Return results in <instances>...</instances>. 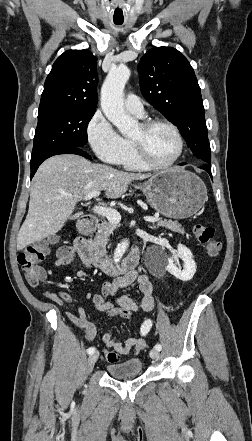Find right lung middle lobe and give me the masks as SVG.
<instances>
[{
	"label": "right lung middle lobe",
	"instance_id": "1",
	"mask_svg": "<svg viewBox=\"0 0 252 441\" xmlns=\"http://www.w3.org/2000/svg\"><path fill=\"white\" fill-rule=\"evenodd\" d=\"M95 110L68 107L39 108L31 161L51 150L83 147L87 143V126Z\"/></svg>",
	"mask_w": 252,
	"mask_h": 441
}]
</instances>
